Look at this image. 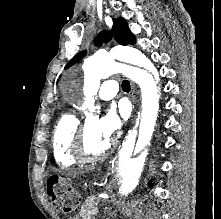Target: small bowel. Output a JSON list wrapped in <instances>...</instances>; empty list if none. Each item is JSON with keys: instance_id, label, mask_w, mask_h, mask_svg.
<instances>
[{"instance_id": "1", "label": "small bowel", "mask_w": 221, "mask_h": 219, "mask_svg": "<svg viewBox=\"0 0 221 219\" xmlns=\"http://www.w3.org/2000/svg\"><path fill=\"white\" fill-rule=\"evenodd\" d=\"M69 219H78L77 217H71V218H69Z\"/></svg>"}]
</instances>
